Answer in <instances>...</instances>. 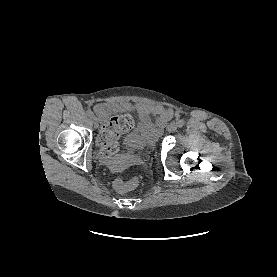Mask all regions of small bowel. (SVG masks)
Returning a JSON list of instances; mask_svg holds the SVG:
<instances>
[{"mask_svg":"<svg viewBox=\"0 0 277 277\" xmlns=\"http://www.w3.org/2000/svg\"><path fill=\"white\" fill-rule=\"evenodd\" d=\"M109 106L107 104H98L96 106V111L100 114L103 121L106 120V113ZM125 108L136 110L143 120H147L150 114L155 116V124L158 127H163L166 122L170 119L172 112L160 105H146V104H135V105H125Z\"/></svg>","mask_w":277,"mask_h":277,"instance_id":"c3829d8e","label":"small bowel"}]
</instances>
